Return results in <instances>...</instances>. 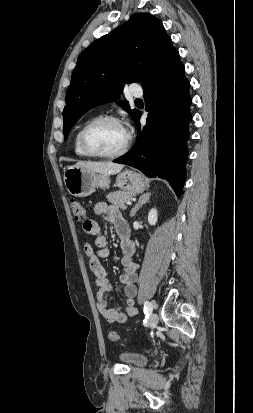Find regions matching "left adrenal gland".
I'll return each mask as SVG.
<instances>
[{"mask_svg":"<svg viewBox=\"0 0 253 413\" xmlns=\"http://www.w3.org/2000/svg\"><path fill=\"white\" fill-rule=\"evenodd\" d=\"M150 195H151V193H150V192H147V193H145V194H143V195L140 196L138 202L136 203V205L134 206V208H133V209L131 210V212H130V216H131V217H134V216L136 215L137 211H138L145 203H147V202L149 201Z\"/></svg>","mask_w":253,"mask_h":413,"instance_id":"a2214340","label":"left adrenal gland"}]
</instances>
